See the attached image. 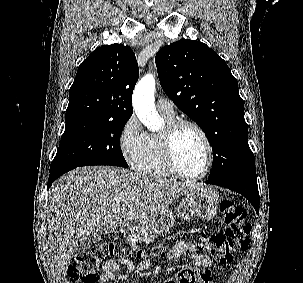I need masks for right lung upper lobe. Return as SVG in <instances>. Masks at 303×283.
<instances>
[{
    "instance_id": "1",
    "label": "right lung upper lobe",
    "mask_w": 303,
    "mask_h": 283,
    "mask_svg": "<svg viewBox=\"0 0 303 283\" xmlns=\"http://www.w3.org/2000/svg\"><path fill=\"white\" fill-rule=\"evenodd\" d=\"M139 70L130 47L112 44L96 48L79 66L69 91L66 118L91 116L128 120Z\"/></svg>"
}]
</instances>
